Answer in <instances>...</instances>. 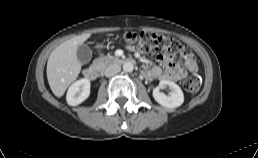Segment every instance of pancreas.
<instances>
[{
  "label": "pancreas",
  "instance_id": "cf45deb5",
  "mask_svg": "<svg viewBox=\"0 0 258 158\" xmlns=\"http://www.w3.org/2000/svg\"><path fill=\"white\" fill-rule=\"evenodd\" d=\"M114 58L111 56H103L99 57L98 59L95 60V63H100L102 65H108Z\"/></svg>",
  "mask_w": 258,
  "mask_h": 158
}]
</instances>
